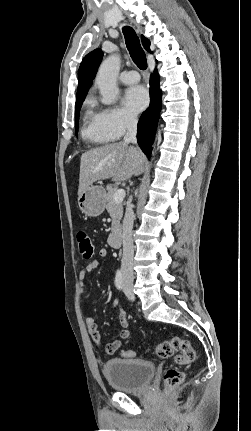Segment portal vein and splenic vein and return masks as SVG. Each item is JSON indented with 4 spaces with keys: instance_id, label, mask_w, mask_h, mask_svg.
<instances>
[{
    "instance_id": "obj_1",
    "label": "portal vein and splenic vein",
    "mask_w": 251,
    "mask_h": 431,
    "mask_svg": "<svg viewBox=\"0 0 251 431\" xmlns=\"http://www.w3.org/2000/svg\"><path fill=\"white\" fill-rule=\"evenodd\" d=\"M126 193L124 189H118L113 195V201L115 203H120L123 201Z\"/></svg>"
}]
</instances>
